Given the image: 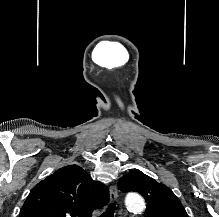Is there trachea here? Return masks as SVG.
<instances>
[{
    "mask_svg": "<svg viewBox=\"0 0 219 217\" xmlns=\"http://www.w3.org/2000/svg\"><path fill=\"white\" fill-rule=\"evenodd\" d=\"M115 206L110 205L108 209L100 215V217H114Z\"/></svg>",
    "mask_w": 219,
    "mask_h": 217,
    "instance_id": "trachea-1",
    "label": "trachea"
}]
</instances>
